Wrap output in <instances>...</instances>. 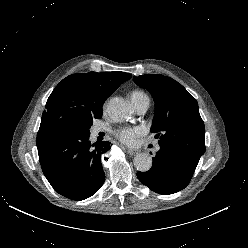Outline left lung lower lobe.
Returning a JSON list of instances; mask_svg holds the SVG:
<instances>
[{
	"instance_id": "0a47b994",
	"label": "left lung lower lobe",
	"mask_w": 248,
	"mask_h": 248,
	"mask_svg": "<svg viewBox=\"0 0 248 248\" xmlns=\"http://www.w3.org/2000/svg\"><path fill=\"white\" fill-rule=\"evenodd\" d=\"M196 166L174 150L160 148L153 158L151 169L147 172H137V177L150 190L168 195L184 189L189 184Z\"/></svg>"
}]
</instances>
